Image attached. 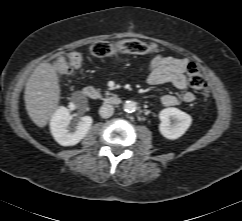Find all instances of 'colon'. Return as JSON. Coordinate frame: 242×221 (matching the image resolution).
Instances as JSON below:
<instances>
[{"label": "colon", "mask_w": 242, "mask_h": 221, "mask_svg": "<svg viewBox=\"0 0 242 221\" xmlns=\"http://www.w3.org/2000/svg\"><path fill=\"white\" fill-rule=\"evenodd\" d=\"M158 50V45L155 43H147L138 39H129L121 41L117 44L109 42L95 43L90 52L97 58H108L118 54H145ZM83 62V53L74 50L60 56L54 62V69L58 74L66 75L75 70H78ZM187 78L190 86L199 94L207 93V85L199 67L190 63L186 69Z\"/></svg>", "instance_id": "1"}]
</instances>
